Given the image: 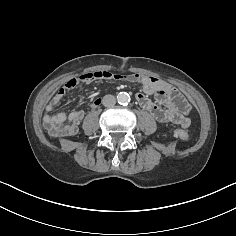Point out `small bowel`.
<instances>
[{"label": "small bowel", "instance_id": "obj_1", "mask_svg": "<svg viewBox=\"0 0 236 236\" xmlns=\"http://www.w3.org/2000/svg\"><path fill=\"white\" fill-rule=\"evenodd\" d=\"M102 72V71H99ZM98 72L85 73L67 80L54 94L47 104L46 113L43 117L44 127L50 136L54 138L71 136L77 133L78 127L84 118L83 110H74L69 114H52L54 108L64 99L67 92L74 90L81 83H90L95 79H115L120 81L137 82L142 85L143 90L136 95V100L141 108L147 110L153 118L160 123H174L186 128L190 125V119L187 117L192 111L191 104L170 84L153 76H143L140 74L113 75L110 78L97 76ZM149 95H155L159 104L149 99ZM101 99L96 98L90 106L99 107Z\"/></svg>", "mask_w": 236, "mask_h": 236}]
</instances>
